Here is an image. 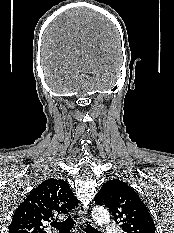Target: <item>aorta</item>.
Listing matches in <instances>:
<instances>
[{"mask_svg":"<svg viewBox=\"0 0 174 233\" xmlns=\"http://www.w3.org/2000/svg\"><path fill=\"white\" fill-rule=\"evenodd\" d=\"M92 217L98 226L108 224L110 221V214L108 210L102 206H96L93 208Z\"/></svg>","mask_w":174,"mask_h":233,"instance_id":"1","label":"aorta"}]
</instances>
